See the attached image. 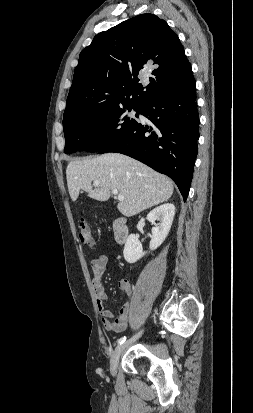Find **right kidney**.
I'll return each instance as SVG.
<instances>
[{
	"instance_id": "ca27d5eb",
	"label": "right kidney",
	"mask_w": 253,
	"mask_h": 413,
	"mask_svg": "<svg viewBox=\"0 0 253 413\" xmlns=\"http://www.w3.org/2000/svg\"><path fill=\"white\" fill-rule=\"evenodd\" d=\"M175 215V206L166 203L156 207L147 215V220L154 224L160 221L158 225L152 228V239L150 241V250L157 249L166 239ZM146 253L143 251L142 244L135 234H130L125 243L123 255L128 263H135Z\"/></svg>"
}]
</instances>
